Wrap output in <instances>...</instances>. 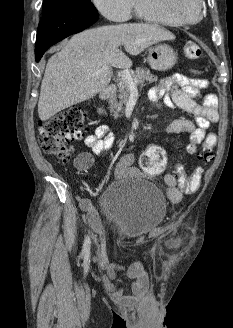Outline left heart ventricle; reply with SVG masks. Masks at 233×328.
Wrapping results in <instances>:
<instances>
[{
  "label": "left heart ventricle",
  "mask_w": 233,
  "mask_h": 328,
  "mask_svg": "<svg viewBox=\"0 0 233 328\" xmlns=\"http://www.w3.org/2000/svg\"><path fill=\"white\" fill-rule=\"evenodd\" d=\"M177 12L184 18L194 19L198 15L197 0H175Z\"/></svg>",
  "instance_id": "obj_1"
}]
</instances>
